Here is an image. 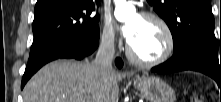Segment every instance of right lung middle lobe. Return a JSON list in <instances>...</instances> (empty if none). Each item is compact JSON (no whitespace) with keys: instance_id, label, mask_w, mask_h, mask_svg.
<instances>
[{"instance_id":"1","label":"right lung middle lobe","mask_w":221,"mask_h":102,"mask_svg":"<svg viewBox=\"0 0 221 102\" xmlns=\"http://www.w3.org/2000/svg\"><path fill=\"white\" fill-rule=\"evenodd\" d=\"M94 9L93 1L88 0H47L36 4L30 56L60 39H95L100 17L93 16Z\"/></svg>"}]
</instances>
